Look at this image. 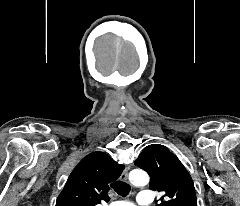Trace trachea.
<instances>
[{"mask_svg": "<svg viewBox=\"0 0 240 206\" xmlns=\"http://www.w3.org/2000/svg\"><path fill=\"white\" fill-rule=\"evenodd\" d=\"M111 187L117 192L119 195L125 197L129 191L130 186L124 181H116L111 184Z\"/></svg>", "mask_w": 240, "mask_h": 206, "instance_id": "obj_1", "label": "trachea"}]
</instances>
